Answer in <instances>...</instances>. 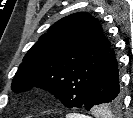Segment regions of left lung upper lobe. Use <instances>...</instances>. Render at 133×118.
Wrapping results in <instances>:
<instances>
[{"mask_svg": "<svg viewBox=\"0 0 133 118\" xmlns=\"http://www.w3.org/2000/svg\"><path fill=\"white\" fill-rule=\"evenodd\" d=\"M111 51L97 19L80 12L62 18L27 52L11 89L27 91L34 86L51 92L66 107H84V101ZM121 102L108 104L118 111Z\"/></svg>", "mask_w": 133, "mask_h": 118, "instance_id": "5c2ea615", "label": "left lung upper lobe"}]
</instances>
